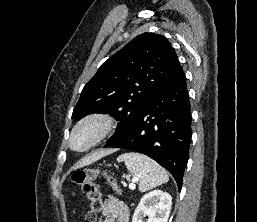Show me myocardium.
I'll return each mask as SVG.
<instances>
[{"label":"myocardium","mask_w":257,"mask_h":222,"mask_svg":"<svg viewBox=\"0 0 257 222\" xmlns=\"http://www.w3.org/2000/svg\"><path fill=\"white\" fill-rule=\"evenodd\" d=\"M89 124L96 125L98 127V133L95 139L89 145L82 149L75 148L72 142L76 131L81 127ZM116 126L117 122L115 117L108 112L98 111L87 114L80 120H78L76 124L73 126L68 140L69 147L70 149L76 152L88 151L93 147L97 146L98 144H100L109 135H111L112 132L115 130Z\"/></svg>","instance_id":"obj_1"}]
</instances>
